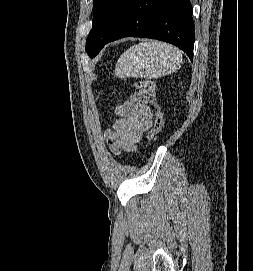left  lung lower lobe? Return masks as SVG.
<instances>
[{
	"mask_svg": "<svg viewBox=\"0 0 253 271\" xmlns=\"http://www.w3.org/2000/svg\"><path fill=\"white\" fill-rule=\"evenodd\" d=\"M129 36L171 43L193 61L195 32L190 0H131L105 44Z\"/></svg>",
	"mask_w": 253,
	"mask_h": 271,
	"instance_id": "obj_1",
	"label": "left lung lower lobe"
}]
</instances>
